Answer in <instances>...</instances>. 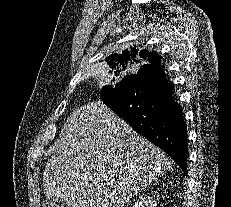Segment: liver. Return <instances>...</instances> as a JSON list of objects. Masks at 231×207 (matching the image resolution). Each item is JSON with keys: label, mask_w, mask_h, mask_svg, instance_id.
<instances>
[{"label": "liver", "mask_w": 231, "mask_h": 207, "mask_svg": "<svg viewBox=\"0 0 231 207\" xmlns=\"http://www.w3.org/2000/svg\"><path fill=\"white\" fill-rule=\"evenodd\" d=\"M50 152L43 191L68 207H124L170 169L164 152L101 101L76 109Z\"/></svg>", "instance_id": "1"}]
</instances>
